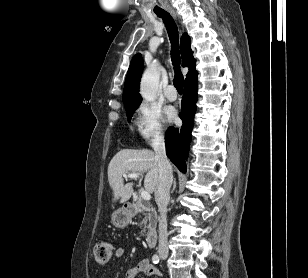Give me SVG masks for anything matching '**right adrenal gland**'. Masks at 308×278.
Here are the masks:
<instances>
[{
	"mask_svg": "<svg viewBox=\"0 0 308 278\" xmlns=\"http://www.w3.org/2000/svg\"><path fill=\"white\" fill-rule=\"evenodd\" d=\"M175 188H176V180L174 179V181H173V188H172L171 193H173V192H174Z\"/></svg>",
	"mask_w": 308,
	"mask_h": 278,
	"instance_id": "obj_1",
	"label": "right adrenal gland"
}]
</instances>
